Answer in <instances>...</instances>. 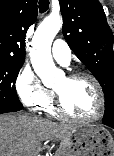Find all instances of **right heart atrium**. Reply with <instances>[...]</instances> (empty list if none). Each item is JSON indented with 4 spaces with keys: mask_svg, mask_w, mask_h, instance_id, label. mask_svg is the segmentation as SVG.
<instances>
[{
    "mask_svg": "<svg viewBox=\"0 0 114 156\" xmlns=\"http://www.w3.org/2000/svg\"><path fill=\"white\" fill-rule=\"evenodd\" d=\"M15 89L20 101L32 110L43 109L53 99V92L42 84L28 65L20 69L15 80Z\"/></svg>",
    "mask_w": 114,
    "mask_h": 156,
    "instance_id": "right-heart-atrium-1",
    "label": "right heart atrium"
}]
</instances>
